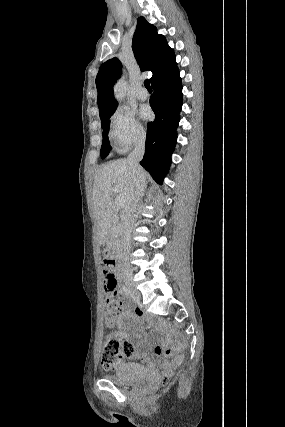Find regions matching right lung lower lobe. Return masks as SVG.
<instances>
[{
	"instance_id": "98d812e1",
	"label": "right lung lower lobe",
	"mask_w": 285,
	"mask_h": 427,
	"mask_svg": "<svg viewBox=\"0 0 285 427\" xmlns=\"http://www.w3.org/2000/svg\"><path fill=\"white\" fill-rule=\"evenodd\" d=\"M150 106L155 121L147 124L145 154L140 164L158 182H162L171 163L177 141V126L182 107V83L179 71L153 86Z\"/></svg>"
}]
</instances>
